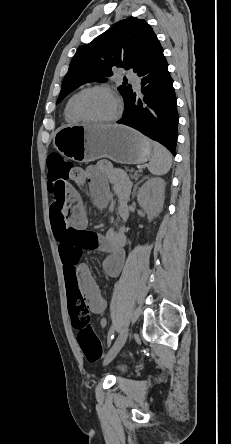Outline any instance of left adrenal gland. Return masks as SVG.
Instances as JSON below:
<instances>
[{"mask_svg":"<svg viewBox=\"0 0 231 444\" xmlns=\"http://www.w3.org/2000/svg\"><path fill=\"white\" fill-rule=\"evenodd\" d=\"M144 179H145V178H143V179L140 180L138 183H136V185H135V187H134V192H135V190H136L137 185H138L140 182H142ZM134 192H133V193H134Z\"/></svg>","mask_w":231,"mask_h":444,"instance_id":"obj_1","label":"left adrenal gland"}]
</instances>
